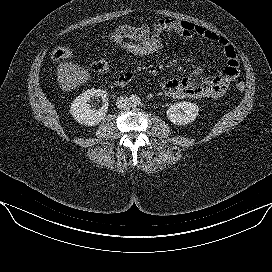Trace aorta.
I'll list each match as a JSON object with an SVG mask.
<instances>
[{
	"label": "aorta",
	"instance_id": "obj_1",
	"mask_svg": "<svg viewBox=\"0 0 272 272\" xmlns=\"http://www.w3.org/2000/svg\"><path fill=\"white\" fill-rule=\"evenodd\" d=\"M130 102H131V105H132V106H137V105L140 104L141 99H140V97L137 96V95H131V97H130Z\"/></svg>",
	"mask_w": 272,
	"mask_h": 272
}]
</instances>
